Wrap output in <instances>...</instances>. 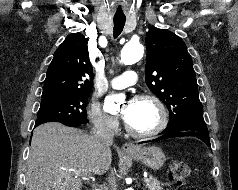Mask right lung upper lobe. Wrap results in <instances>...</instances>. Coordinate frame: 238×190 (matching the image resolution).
Returning a JSON list of instances; mask_svg holds the SVG:
<instances>
[{
	"instance_id": "cb5924a9",
	"label": "right lung upper lobe",
	"mask_w": 238,
	"mask_h": 190,
	"mask_svg": "<svg viewBox=\"0 0 238 190\" xmlns=\"http://www.w3.org/2000/svg\"><path fill=\"white\" fill-rule=\"evenodd\" d=\"M88 39L70 34L57 48L47 70L42 97L60 94H90L93 69L88 58Z\"/></svg>"
}]
</instances>
